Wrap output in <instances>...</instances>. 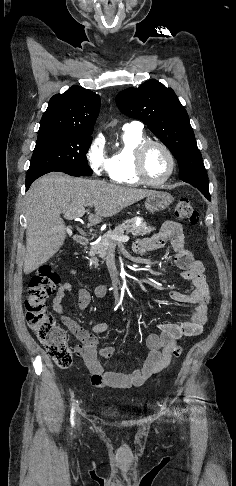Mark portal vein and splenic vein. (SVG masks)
Masks as SVG:
<instances>
[{
    "label": "portal vein and splenic vein",
    "mask_w": 236,
    "mask_h": 486,
    "mask_svg": "<svg viewBox=\"0 0 236 486\" xmlns=\"http://www.w3.org/2000/svg\"><path fill=\"white\" fill-rule=\"evenodd\" d=\"M85 213V208H80V209H74L70 212H67L64 214V217L66 219H79L81 218ZM112 240L116 241V242H119V243H124V242H127L129 241V236H125V235H120V236H112L111 237Z\"/></svg>",
    "instance_id": "1"
}]
</instances>
